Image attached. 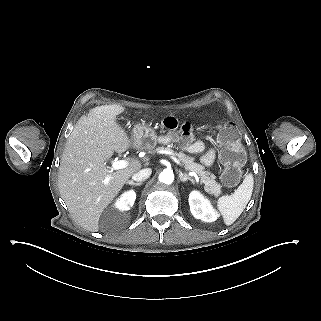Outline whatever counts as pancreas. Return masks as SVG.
I'll list each match as a JSON object with an SVG mask.
<instances>
[{"label":"pancreas","instance_id":"cf45deb5","mask_svg":"<svg viewBox=\"0 0 321 321\" xmlns=\"http://www.w3.org/2000/svg\"><path fill=\"white\" fill-rule=\"evenodd\" d=\"M157 150H161L165 154L172 152V150L168 148H158ZM180 155L181 156L179 157V159L185 165V169L194 172L199 176L201 180L205 181L204 191L210 195L219 196L221 194V185L214 180L215 175L210 174V176H207V173L206 171H203L204 167L201 164L193 162L192 158L186 156L183 153H181Z\"/></svg>","mask_w":321,"mask_h":321}]
</instances>
